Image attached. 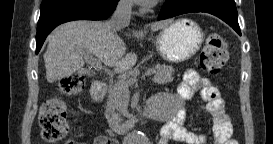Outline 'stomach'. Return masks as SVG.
<instances>
[{"label": "stomach", "instance_id": "obj_1", "mask_svg": "<svg viewBox=\"0 0 273 144\" xmlns=\"http://www.w3.org/2000/svg\"><path fill=\"white\" fill-rule=\"evenodd\" d=\"M204 34L200 26L190 19H179L156 37V48L160 55L172 63L190 59L200 49Z\"/></svg>", "mask_w": 273, "mask_h": 144}]
</instances>
